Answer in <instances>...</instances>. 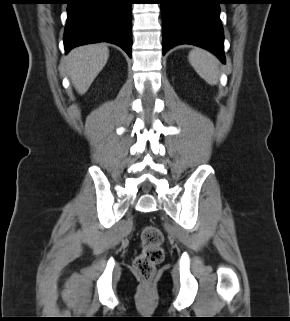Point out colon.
Instances as JSON below:
<instances>
[{"mask_svg":"<svg viewBox=\"0 0 290 321\" xmlns=\"http://www.w3.org/2000/svg\"><path fill=\"white\" fill-rule=\"evenodd\" d=\"M163 234L156 226H147L141 234V252L134 260V270L143 281H150L156 266L164 259Z\"/></svg>","mask_w":290,"mask_h":321,"instance_id":"1","label":"colon"}]
</instances>
